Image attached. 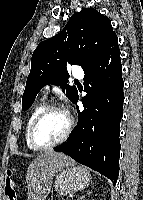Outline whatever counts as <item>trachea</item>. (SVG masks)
<instances>
[{"instance_id": "trachea-1", "label": "trachea", "mask_w": 143, "mask_h": 200, "mask_svg": "<svg viewBox=\"0 0 143 200\" xmlns=\"http://www.w3.org/2000/svg\"><path fill=\"white\" fill-rule=\"evenodd\" d=\"M75 83H79L77 80L74 81Z\"/></svg>"}]
</instances>
